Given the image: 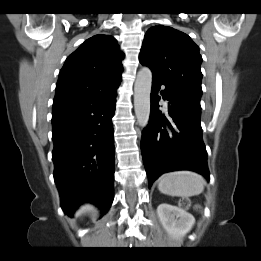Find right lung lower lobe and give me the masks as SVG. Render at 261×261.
Segmentation results:
<instances>
[{
    "label": "right lung lower lobe",
    "instance_id": "right-lung-lower-lobe-1",
    "mask_svg": "<svg viewBox=\"0 0 261 261\" xmlns=\"http://www.w3.org/2000/svg\"><path fill=\"white\" fill-rule=\"evenodd\" d=\"M116 88L54 102V180L63 211L84 202L107 212L113 201Z\"/></svg>",
    "mask_w": 261,
    "mask_h": 261
}]
</instances>
